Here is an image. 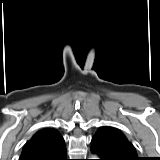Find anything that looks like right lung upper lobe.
I'll list each match as a JSON object with an SVG mask.
<instances>
[{"mask_svg":"<svg viewBox=\"0 0 160 160\" xmlns=\"http://www.w3.org/2000/svg\"><path fill=\"white\" fill-rule=\"evenodd\" d=\"M66 149L61 134L52 128L38 131L26 142L19 160H51Z\"/></svg>","mask_w":160,"mask_h":160,"instance_id":"1","label":"right lung upper lobe"}]
</instances>
